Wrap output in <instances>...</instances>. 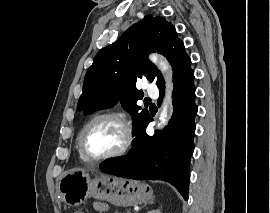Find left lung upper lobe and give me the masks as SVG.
<instances>
[{
    "label": "left lung upper lobe",
    "instance_id": "obj_1",
    "mask_svg": "<svg viewBox=\"0 0 270 213\" xmlns=\"http://www.w3.org/2000/svg\"><path fill=\"white\" fill-rule=\"evenodd\" d=\"M149 52L167 57L174 79L191 64L175 27L160 16L147 15L96 55L85 75L78 109L88 114L112 107L120 98L123 108L132 114L135 130L138 129L149 113L136 105L143 98L142 91L136 88L137 79L156 80L159 89L164 87L160 71L147 59Z\"/></svg>",
    "mask_w": 270,
    "mask_h": 213
}]
</instances>
